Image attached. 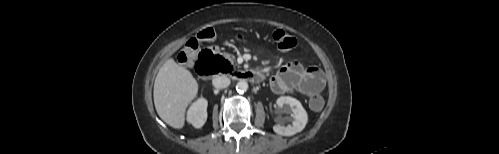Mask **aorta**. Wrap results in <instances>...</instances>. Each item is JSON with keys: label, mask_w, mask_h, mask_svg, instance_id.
Instances as JSON below:
<instances>
[{"label": "aorta", "mask_w": 499, "mask_h": 154, "mask_svg": "<svg viewBox=\"0 0 499 154\" xmlns=\"http://www.w3.org/2000/svg\"><path fill=\"white\" fill-rule=\"evenodd\" d=\"M236 90L238 93H244L248 90V83L245 80H241L236 84Z\"/></svg>", "instance_id": "762f6f07"}]
</instances>
